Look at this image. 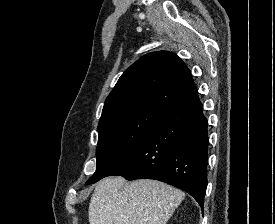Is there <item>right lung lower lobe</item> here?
<instances>
[{
  "label": "right lung lower lobe",
  "instance_id": "right-lung-lower-lobe-1",
  "mask_svg": "<svg viewBox=\"0 0 275 224\" xmlns=\"http://www.w3.org/2000/svg\"><path fill=\"white\" fill-rule=\"evenodd\" d=\"M208 122L196 90L170 107L110 174L155 179L193 196L203 209L207 188Z\"/></svg>",
  "mask_w": 275,
  "mask_h": 224
}]
</instances>
